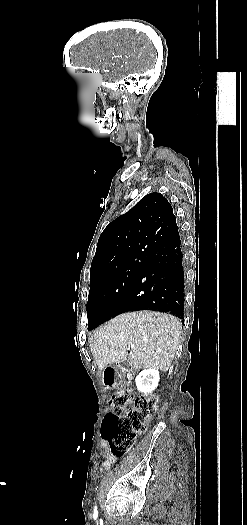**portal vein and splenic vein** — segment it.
I'll list each match as a JSON object with an SVG mask.
<instances>
[{"label": "portal vein and splenic vein", "instance_id": "1", "mask_svg": "<svg viewBox=\"0 0 247 525\" xmlns=\"http://www.w3.org/2000/svg\"><path fill=\"white\" fill-rule=\"evenodd\" d=\"M134 346V343H130V348L132 349Z\"/></svg>", "mask_w": 247, "mask_h": 525}]
</instances>
